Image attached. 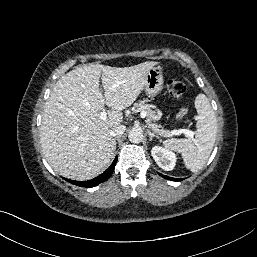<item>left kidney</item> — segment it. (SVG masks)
Masks as SVG:
<instances>
[{
    "mask_svg": "<svg viewBox=\"0 0 257 257\" xmlns=\"http://www.w3.org/2000/svg\"><path fill=\"white\" fill-rule=\"evenodd\" d=\"M151 154L157 165L165 171H171L175 167L176 155L161 146H154Z\"/></svg>",
    "mask_w": 257,
    "mask_h": 257,
    "instance_id": "obj_1",
    "label": "left kidney"
}]
</instances>
